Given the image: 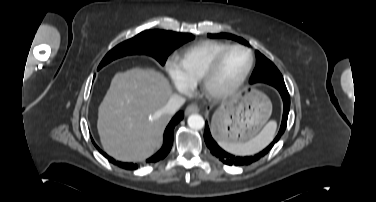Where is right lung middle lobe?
I'll list each match as a JSON object with an SVG mask.
<instances>
[{
  "label": "right lung middle lobe",
  "mask_w": 376,
  "mask_h": 202,
  "mask_svg": "<svg viewBox=\"0 0 376 202\" xmlns=\"http://www.w3.org/2000/svg\"><path fill=\"white\" fill-rule=\"evenodd\" d=\"M193 38L194 36L189 33L164 30L144 31L109 51L101 61L98 70L116 58L131 54H147L164 65L173 50Z\"/></svg>",
  "instance_id": "dd1d6c3e"
}]
</instances>
